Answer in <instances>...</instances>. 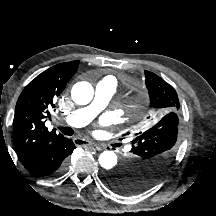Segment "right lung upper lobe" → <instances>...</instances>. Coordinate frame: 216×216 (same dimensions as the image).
I'll return each mask as SVG.
<instances>
[{
	"label": "right lung upper lobe",
	"mask_w": 216,
	"mask_h": 216,
	"mask_svg": "<svg viewBox=\"0 0 216 216\" xmlns=\"http://www.w3.org/2000/svg\"><path fill=\"white\" fill-rule=\"evenodd\" d=\"M79 61L57 64L32 80L20 94L13 120V137L17 155L23 165L54 140L62 137L45 127L49 109L75 74Z\"/></svg>",
	"instance_id": "right-lung-upper-lobe-1"
}]
</instances>
